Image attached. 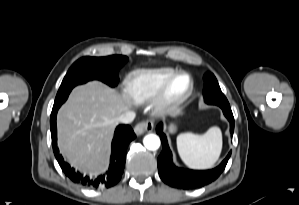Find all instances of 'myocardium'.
<instances>
[{"label":"myocardium","instance_id":"myocardium-1","mask_svg":"<svg viewBox=\"0 0 299 205\" xmlns=\"http://www.w3.org/2000/svg\"><path fill=\"white\" fill-rule=\"evenodd\" d=\"M185 79L186 88L181 92H175L176 84ZM194 82L192 77L186 72L173 74L159 89L154 98V109L157 113H164L181 106L192 94Z\"/></svg>","mask_w":299,"mask_h":205}]
</instances>
